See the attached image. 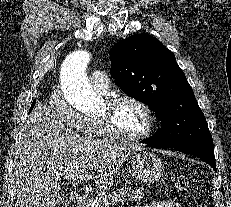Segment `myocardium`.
I'll use <instances>...</instances> for the list:
<instances>
[{
	"instance_id": "myocardium-1",
	"label": "myocardium",
	"mask_w": 231,
	"mask_h": 207,
	"mask_svg": "<svg viewBox=\"0 0 231 207\" xmlns=\"http://www.w3.org/2000/svg\"><path fill=\"white\" fill-rule=\"evenodd\" d=\"M124 102H130L139 106L145 113L147 124L146 128L140 134L129 136L122 133L114 123L113 113L115 109ZM106 111L99 116V121L102 125L106 136L121 142L131 143L138 142L148 138L155 129V116L150 106L141 99L132 95H113L105 100Z\"/></svg>"
}]
</instances>
